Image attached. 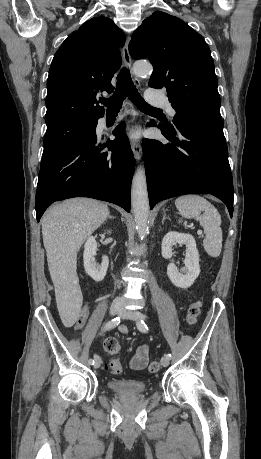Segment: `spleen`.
I'll return each instance as SVG.
<instances>
[{"label":"spleen","instance_id":"1","mask_svg":"<svg viewBox=\"0 0 261 459\" xmlns=\"http://www.w3.org/2000/svg\"><path fill=\"white\" fill-rule=\"evenodd\" d=\"M175 206L182 217L199 221L205 233L204 249L209 256L217 258L222 249L221 216L217 209L204 197L195 194L178 197Z\"/></svg>","mask_w":261,"mask_h":459}]
</instances>
